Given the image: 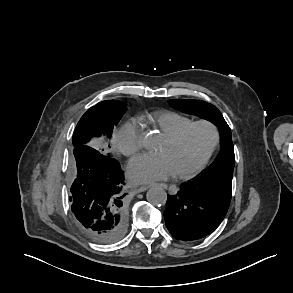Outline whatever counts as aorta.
<instances>
[{
    "instance_id": "1",
    "label": "aorta",
    "mask_w": 293,
    "mask_h": 293,
    "mask_svg": "<svg viewBox=\"0 0 293 293\" xmlns=\"http://www.w3.org/2000/svg\"><path fill=\"white\" fill-rule=\"evenodd\" d=\"M155 139L151 136L144 137L142 139V145L151 150L155 146ZM146 198L154 206L165 205L167 200V193L162 188H151L147 191Z\"/></svg>"
}]
</instances>
